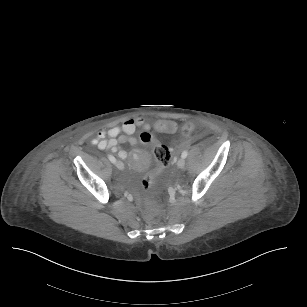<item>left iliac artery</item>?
<instances>
[{
	"label": "left iliac artery",
	"instance_id": "1",
	"mask_svg": "<svg viewBox=\"0 0 307 307\" xmlns=\"http://www.w3.org/2000/svg\"><path fill=\"white\" fill-rule=\"evenodd\" d=\"M187 155H188V152H187V151H183L181 157H182V158H186Z\"/></svg>",
	"mask_w": 307,
	"mask_h": 307
}]
</instances>
